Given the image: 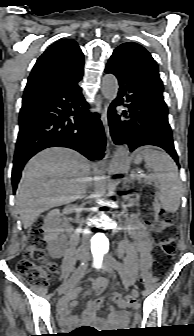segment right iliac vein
Returning <instances> with one entry per match:
<instances>
[{
    "label": "right iliac vein",
    "mask_w": 194,
    "mask_h": 336,
    "mask_svg": "<svg viewBox=\"0 0 194 336\" xmlns=\"http://www.w3.org/2000/svg\"><path fill=\"white\" fill-rule=\"evenodd\" d=\"M88 260L89 258L85 255L81 257L80 259L81 265L76 270H74L69 279L60 286L58 290L59 295L66 293L70 289V287L77 281V279L83 274L84 269L86 267V262Z\"/></svg>",
    "instance_id": "right-iliac-vein-1"
}]
</instances>
